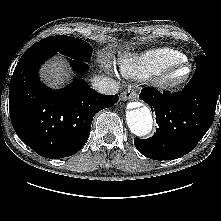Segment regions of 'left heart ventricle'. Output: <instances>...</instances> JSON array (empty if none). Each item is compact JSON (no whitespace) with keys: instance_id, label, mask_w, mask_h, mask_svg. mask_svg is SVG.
I'll use <instances>...</instances> for the list:
<instances>
[{"instance_id":"left-heart-ventricle-1","label":"left heart ventricle","mask_w":221,"mask_h":221,"mask_svg":"<svg viewBox=\"0 0 221 221\" xmlns=\"http://www.w3.org/2000/svg\"><path fill=\"white\" fill-rule=\"evenodd\" d=\"M187 73V70L185 68L179 70L177 73H176V76L177 77H182L184 76L185 74Z\"/></svg>"}]
</instances>
